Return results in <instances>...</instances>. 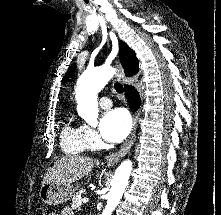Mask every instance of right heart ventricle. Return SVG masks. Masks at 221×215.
Returning a JSON list of instances; mask_svg holds the SVG:
<instances>
[{
    "label": "right heart ventricle",
    "instance_id": "e07e8e85",
    "mask_svg": "<svg viewBox=\"0 0 221 215\" xmlns=\"http://www.w3.org/2000/svg\"><path fill=\"white\" fill-rule=\"evenodd\" d=\"M61 147L64 152L77 154L86 150L81 127L67 124L61 132Z\"/></svg>",
    "mask_w": 221,
    "mask_h": 215
}]
</instances>
